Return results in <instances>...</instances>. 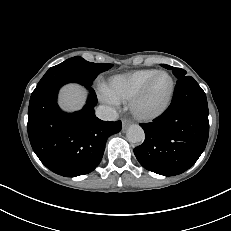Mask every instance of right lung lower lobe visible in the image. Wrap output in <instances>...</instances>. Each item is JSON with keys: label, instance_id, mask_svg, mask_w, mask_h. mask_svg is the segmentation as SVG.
Segmentation results:
<instances>
[{"label": "right lung lower lobe", "instance_id": "obj_1", "mask_svg": "<svg viewBox=\"0 0 231 231\" xmlns=\"http://www.w3.org/2000/svg\"><path fill=\"white\" fill-rule=\"evenodd\" d=\"M60 79L34 90L28 109V136L40 161L51 171L75 177L93 171L100 163L107 138L121 130V121L109 122L94 114L97 98L90 85L87 103L72 114L60 110L57 94L66 83Z\"/></svg>", "mask_w": 231, "mask_h": 231}]
</instances>
